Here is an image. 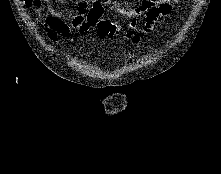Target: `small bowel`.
<instances>
[{
    "label": "small bowel",
    "mask_w": 221,
    "mask_h": 174,
    "mask_svg": "<svg viewBox=\"0 0 221 174\" xmlns=\"http://www.w3.org/2000/svg\"><path fill=\"white\" fill-rule=\"evenodd\" d=\"M64 1L59 0L61 3ZM177 1L180 0H139L135 6L130 7L115 0H73L74 9L59 11L54 7L52 0H39L35 5V13L37 17H41V3H43L50 15L46 19L48 34L54 38L56 33L69 36L70 27L64 23L66 20H70L71 27L81 33L96 27L106 9L128 19L144 15V25L147 29H151L171 13V2Z\"/></svg>",
    "instance_id": "obj_1"
}]
</instances>
